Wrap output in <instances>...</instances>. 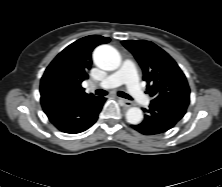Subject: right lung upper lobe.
<instances>
[{
	"instance_id": "cb5924a9",
	"label": "right lung upper lobe",
	"mask_w": 222,
	"mask_h": 187,
	"mask_svg": "<svg viewBox=\"0 0 222 187\" xmlns=\"http://www.w3.org/2000/svg\"><path fill=\"white\" fill-rule=\"evenodd\" d=\"M109 41L108 37L91 35L66 47L45 70L40 88L54 84L77 97L92 96L93 94L85 93L81 83L88 78L94 48Z\"/></svg>"
}]
</instances>
